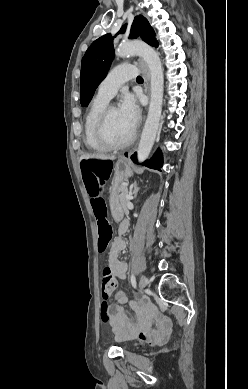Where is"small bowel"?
Returning a JSON list of instances; mask_svg holds the SVG:
<instances>
[{"label": "small bowel", "mask_w": 248, "mask_h": 389, "mask_svg": "<svg viewBox=\"0 0 248 389\" xmlns=\"http://www.w3.org/2000/svg\"><path fill=\"white\" fill-rule=\"evenodd\" d=\"M128 228L127 223H122L119 232L124 233ZM125 248V242L117 237L113 240L109 253L108 265L119 279L127 278V264L119 259V254ZM116 303L109 306L110 326L117 339H139L148 344H159L168 338L171 332L170 321L156 312L154 309L140 305L125 298L123 301L115 300ZM129 304L136 313L135 320H131L124 305Z\"/></svg>", "instance_id": "c3829d8e"}]
</instances>
